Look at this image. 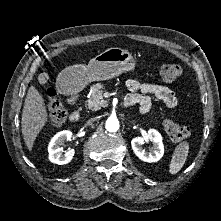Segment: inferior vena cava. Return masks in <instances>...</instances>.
<instances>
[{"instance_id":"602c4592","label":"inferior vena cava","mask_w":221,"mask_h":221,"mask_svg":"<svg viewBox=\"0 0 221 221\" xmlns=\"http://www.w3.org/2000/svg\"><path fill=\"white\" fill-rule=\"evenodd\" d=\"M94 120H95V118H91V119L88 120L87 123L90 124V123H92Z\"/></svg>"}]
</instances>
